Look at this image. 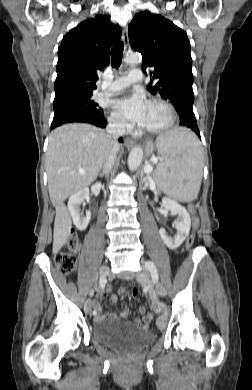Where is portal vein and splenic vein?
Listing matches in <instances>:
<instances>
[{
	"label": "portal vein and splenic vein",
	"instance_id": "18ae733b",
	"mask_svg": "<svg viewBox=\"0 0 252 390\" xmlns=\"http://www.w3.org/2000/svg\"><path fill=\"white\" fill-rule=\"evenodd\" d=\"M150 161L155 163V164H157L158 163V158L152 157L150 159ZM152 169H153L152 166L150 164H148V165L145 166L144 171H145L146 174H149L152 171Z\"/></svg>",
	"mask_w": 252,
	"mask_h": 390
}]
</instances>
